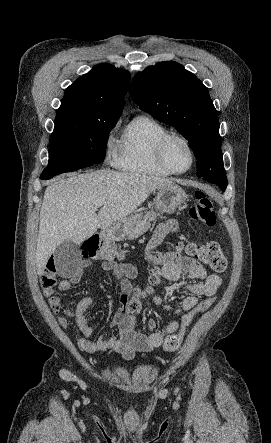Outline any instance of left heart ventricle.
Listing matches in <instances>:
<instances>
[{"instance_id":"obj_1","label":"left heart ventricle","mask_w":271,"mask_h":443,"mask_svg":"<svg viewBox=\"0 0 271 443\" xmlns=\"http://www.w3.org/2000/svg\"><path fill=\"white\" fill-rule=\"evenodd\" d=\"M166 158L175 170H185L191 164V153L187 145L178 138L171 139L165 149Z\"/></svg>"}]
</instances>
